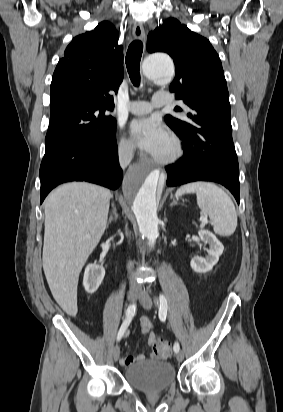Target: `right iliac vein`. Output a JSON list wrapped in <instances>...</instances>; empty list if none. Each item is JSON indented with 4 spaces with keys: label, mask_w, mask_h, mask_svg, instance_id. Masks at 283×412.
I'll return each mask as SVG.
<instances>
[{
    "label": "right iliac vein",
    "mask_w": 283,
    "mask_h": 412,
    "mask_svg": "<svg viewBox=\"0 0 283 412\" xmlns=\"http://www.w3.org/2000/svg\"><path fill=\"white\" fill-rule=\"evenodd\" d=\"M140 294V290L138 288H131L128 292V300L133 302L137 299L138 295ZM112 355L114 360H118L120 356V348L118 345H115L112 349Z\"/></svg>",
    "instance_id": "obj_1"
}]
</instances>
